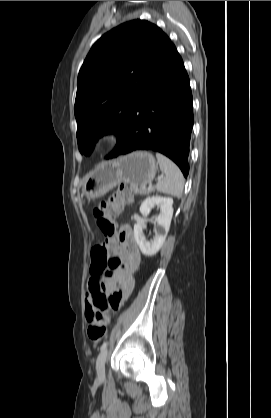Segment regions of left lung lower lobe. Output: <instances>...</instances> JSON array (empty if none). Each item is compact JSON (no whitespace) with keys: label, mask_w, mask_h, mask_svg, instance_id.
Returning a JSON list of instances; mask_svg holds the SVG:
<instances>
[{"label":"left lung lower lobe","mask_w":271,"mask_h":418,"mask_svg":"<svg viewBox=\"0 0 271 418\" xmlns=\"http://www.w3.org/2000/svg\"><path fill=\"white\" fill-rule=\"evenodd\" d=\"M193 123L189 77L173 44L165 61L140 94L116 148L106 158L136 150H152L172 159L187 177Z\"/></svg>","instance_id":"left-lung-lower-lobe-1"}]
</instances>
